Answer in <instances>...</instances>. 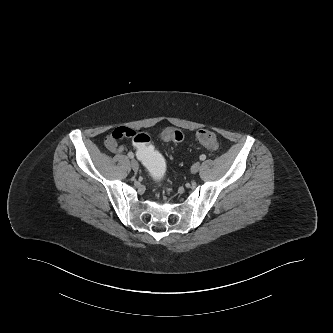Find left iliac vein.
I'll return each mask as SVG.
<instances>
[{"label":"left iliac vein","mask_w":333,"mask_h":333,"mask_svg":"<svg viewBox=\"0 0 333 333\" xmlns=\"http://www.w3.org/2000/svg\"><path fill=\"white\" fill-rule=\"evenodd\" d=\"M200 169V163L199 162H196L192 165L191 167V172L192 173H197Z\"/></svg>","instance_id":"obj_1"}]
</instances>
